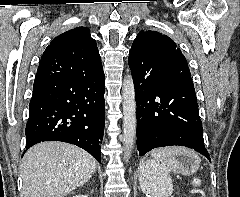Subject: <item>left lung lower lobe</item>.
Segmentation results:
<instances>
[{"label":"left lung lower lobe","mask_w":240,"mask_h":197,"mask_svg":"<svg viewBox=\"0 0 240 197\" xmlns=\"http://www.w3.org/2000/svg\"><path fill=\"white\" fill-rule=\"evenodd\" d=\"M131 72L137 104L139 155L156 147L179 145L192 148L210 160L203 142L193 82L154 71Z\"/></svg>","instance_id":"left-lung-lower-lobe-1"}]
</instances>
